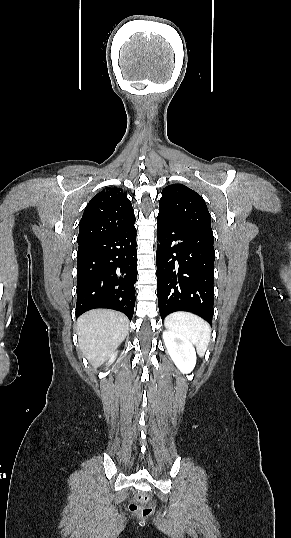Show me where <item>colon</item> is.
<instances>
[{
  "mask_svg": "<svg viewBox=\"0 0 291 538\" xmlns=\"http://www.w3.org/2000/svg\"><path fill=\"white\" fill-rule=\"evenodd\" d=\"M130 510L141 518H147L153 512V508L147 504V498L143 495H136L133 498Z\"/></svg>",
  "mask_w": 291,
  "mask_h": 538,
  "instance_id": "5ec220e1",
  "label": "colon"
}]
</instances>
